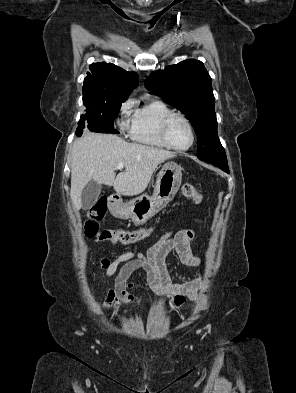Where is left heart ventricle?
<instances>
[{
  "mask_svg": "<svg viewBox=\"0 0 296 393\" xmlns=\"http://www.w3.org/2000/svg\"><path fill=\"white\" fill-rule=\"evenodd\" d=\"M168 138L177 147H186L191 142V132L184 120L175 118L168 128Z\"/></svg>",
  "mask_w": 296,
  "mask_h": 393,
  "instance_id": "1",
  "label": "left heart ventricle"
}]
</instances>
